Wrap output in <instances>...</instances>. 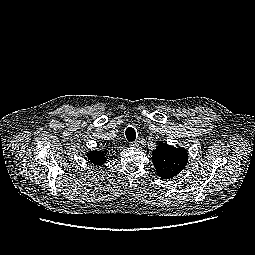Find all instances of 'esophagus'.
Instances as JSON below:
<instances>
[{
    "label": "esophagus",
    "mask_w": 255,
    "mask_h": 255,
    "mask_svg": "<svg viewBox=\"0 0 255 255\" xmlns=\"http://www.w3.org/2000/svg\"><path fill=\"white\" fill-rule=\"evenodd\" d=\"M130 146L138 147L139 146V141L136 140V141L130 142Z\"/></svg>",
    "instance_id": "esophagus-1"
}]
</instances>
